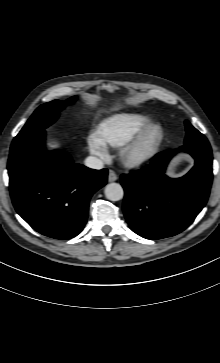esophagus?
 I'll return each mask as SVG.
<instances>
[{"label": "esophagus", "instance_id": "obj_1", "mask_svg": "<svg viewBox=\"0 0 220 363\" xmlns=\"http://www.w3.org/2000/svg\"><path fill=\"white\" fill-rule=\"evenodd\" d=\"M117 179H118L117 174L113 170H109V173H108V181L109 182H114Z\"/></svg>", "mask_w": 220, "mask_h": 363}]
</instances>
